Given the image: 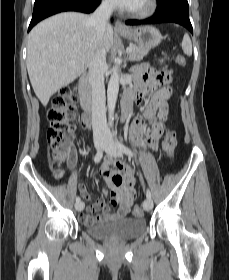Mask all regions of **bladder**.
<instances>
[{"instance_id":"1","label":"bladder","mask_w":229,"mask_h":280,"mask_svg":"<svg viewBox=\"0 0 229 280\" xmlns=\"http://www.w3.org/2000/svg\"><path fill=\"white\" fill-rule=\"evenodd\" d=\"M87 233L97 238L132 239L147 229L145 219L122 217L113 221L84 224Z\"/></svg>"}]
</instances>
